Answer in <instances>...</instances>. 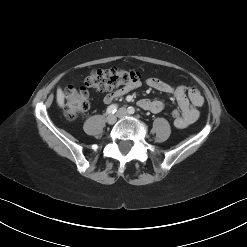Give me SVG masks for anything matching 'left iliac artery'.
<instances>
[{"mask_svg":"<svg viewBox=\"0 0 247 247\" xmlns=\"http://www.w3.org/2000/svg\"><path fill=\"white\" fill-rule=\"evenodd\" d=\"M128 113L129 114H134L135 113V109L133 107H128Z\"/></svg>","mask_w":247,"mask_h":247,"instance_id":"44dca946","label":"left iliac artery"}]
</instances>
